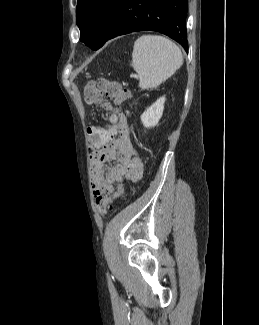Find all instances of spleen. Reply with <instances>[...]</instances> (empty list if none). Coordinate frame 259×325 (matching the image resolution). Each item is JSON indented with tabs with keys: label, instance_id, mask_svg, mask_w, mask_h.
<instances>
[{
	"label": "spleen",
	"instance_id": "1",
	"mask_svg": "<svg viewBox=\"0 0 259 325\" xmlns=\"http://www.w3.org/2000/svg\"><path fill=\"white\" fill-rule=\"evenodd\" d=\"M183 64L179 47L160 35H142L133 47L131 66L138 73L139 87L155 88Z\"/></svg>",
	"mask_w": 259,
	"mask_h": 325
}]
</instances>
